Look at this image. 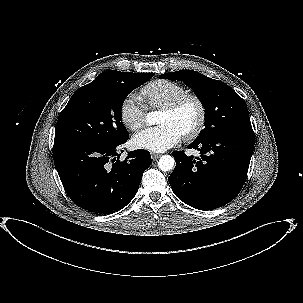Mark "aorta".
I'll use <instances>...</instances> for the list:
<instances>
[{"label": "aorta", "mask_w": 303, "mask_h": 303, "mask_svg": "<svg viewBox=\"0 0 303 303\" xmlns=\"http://www.w3.org/2000/svg\"><path fill=\"white\" fill-rule=\"evenodd\" d=\"M147 122L149 124H154L156 121V113L155 112H149L147 115ZM175 160L170 155H163L158 162V167L162 171H170L174 167Z\"/></svg>", "instance_id": "aorta-1"}]
</instances>
